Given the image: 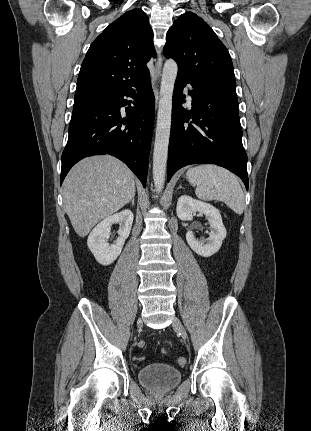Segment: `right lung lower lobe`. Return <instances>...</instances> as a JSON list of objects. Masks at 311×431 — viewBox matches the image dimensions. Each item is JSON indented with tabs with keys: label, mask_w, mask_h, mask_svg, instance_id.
Instances as JSON below:
<instances>
[{
	"label": "right lung lower lobe",
	"mask_w": 311,
	"mask_h": 431,
	"mask_svg": "<svg viewBox=\"0 0 311 431\" xmlns=\"http://www.w3.org/2000/svg\"><path fill=\"white\" fill-rule=\"evenodd\" d=\"M124 96L135 99L133 107ZM126 105V118H122L120 107ZM154 110L149 73L117 91L76 98L62 153L60 184L82 158L111 154L126 163L145 187Z\"/></svg>",
	"instance_id": "1"
}]
</instances>
